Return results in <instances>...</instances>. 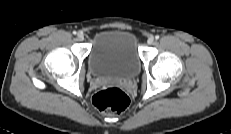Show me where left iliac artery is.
Masks as SVG:
<instances>
[{
  "instance_id": "obj_1",
  "label": "left iliac artery",
  "mask_w": 231,
  "mask_h": 134,
  "mask_svg": "<svg viewBox=\"0 0 231 134\" xmlns=\"http://www.w3.org/2000/svg\"><path fill=\"white\" fill-rule=\"evenodd\" d=\"M155 39L158 40V39H159V35H156V36H155Z\"/></svg>"
}]
</instances>
